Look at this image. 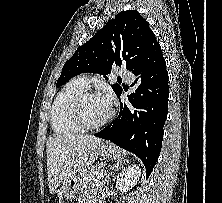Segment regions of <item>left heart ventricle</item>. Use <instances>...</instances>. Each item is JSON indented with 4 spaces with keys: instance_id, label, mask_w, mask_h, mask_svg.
Segmentation results:
<instances>
[{
    "instance_id": "b2bd125f",
    "label": "left heart ventricle",
    "mask_w": 222,
    "mask_h": 203,
    "mask_svg": "<svg viewBox=\"0 0 222 203\" xmlns=\"http://www.w3.org/2000/svg\"><path fill=\"white\" fill-rule=\"evenodd\" d=\"M110 112L100 96L87 98L83 105L85 119L89 123H97L103 120Z\"/></svg>"
}]
</instances>
